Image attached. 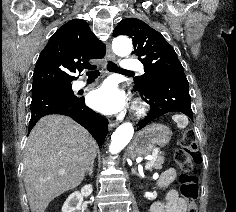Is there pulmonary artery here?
Here are the masks:
<instances>
[{"label":"pulmonary artery","mask_w":236,"mask_h":212,"mask_svg":"<svg viewBox=\"0 0 236 212\" xmlns=\"http://www.w3.org/2000/svg\"><path fill=\"white\" fill-rule=\"evenodd\" d=\"M121 69L123 70H138L142 71V65L137 60L125 59L121 62ZM85 86V82L77 81L74 85L75 89H81Z\"/></svg>","instance_id":"1"}]
</instances>
